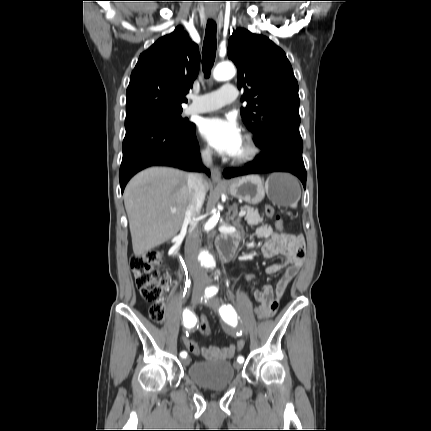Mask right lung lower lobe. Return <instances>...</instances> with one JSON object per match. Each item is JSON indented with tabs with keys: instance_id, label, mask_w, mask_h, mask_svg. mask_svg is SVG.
I'll return each mask as SVG.
<instances>
[{
	"instance_id": "1",
	"label": "right lung lower lobe",
	"mask_w": 431,
	"mask_h": 431,
	"mask_svg": "<svg viewBox=\"0 0 431 431\" xmlns=\"http://www.w3.org/2000/svg\"><path fill=\"white\" fill-rule=\"evenodd\" d=\"M122 151L119 173L122 192L134 174L150 166H171L210 175L201 165L194 124L189 129L153 124L128 130Z\"/></svg>"
}]
</instances>
